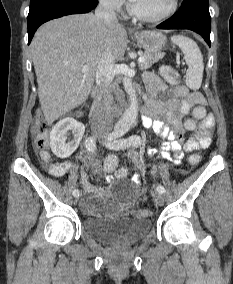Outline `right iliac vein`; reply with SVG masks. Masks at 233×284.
<instances>
[{
  "label": "right iliac vein",
  "mask_w": 233,
  "mask_h": 284,
  "mask_svg": "<svg viewBox=\"0 0 233 284\" xmlns=\"http://www.w3.org/2000/svg\"><path fill=\"white\" fill-rule=\"evenodd\" d=\"M98 138L101 139L102 136L98 135ZM78 200H79V196H76L75 200H74V203L77 204Z\"/></svg>",
  "instance_id": "right-iliac-vein-1"
}]
</instances>
